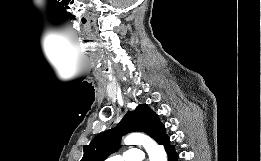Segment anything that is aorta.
Instances as JSON below:
<instances>
[{
    "mask_svg": "<svg viewBox=\"0 0 261 161\" xmlns=\"http://www.w3.org/2000/svg\"><path fill=\"white\" fill-rule=\"evenodd\" d=\"M124 143L126 145H142L148 153L150 161H167L164 147L158 145L147 135L132 133L125 138Z\"/></svg>",
    "mask_w": 261,
    "mask_h": 161,
    "instance_id": "obj_1",
    "label": "aorta"
}]
</instances>
